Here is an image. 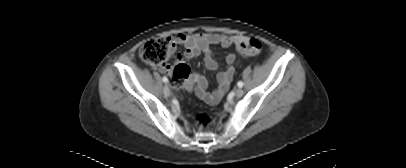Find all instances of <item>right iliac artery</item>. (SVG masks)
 I'll use <instances>...</instances> for the list:
<instances>
[{
	"mask_svg": "<svg viewBox=\"0 0 406 168\" xmlns=\"http://www.w3.org/2000/svg\"><path fill=\"white\" fill-rule=\"evenodd\" d=\"M162 80H163L164 83H167V82H168L167 77H163Z\"/></svg>",
	"mask_w": 406,
	"mask_h": 168,
	"instance_id": "1",
	"label": "right iliac artery"
}]
</instances>
